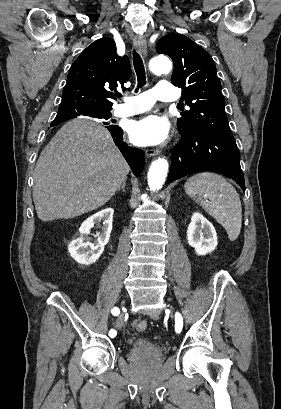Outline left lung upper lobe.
I'll return each instance as SVG.
<instances>
[{
  "instance_id": "5c2ea615",
  "label": "left lung upper lobe",
  "mask_w": 281,
  "mask_h": 409,
  "mask_svg": "<svg viewBox=\"0 0 281 409\" xmlns=\"http://www.w3.org/2000/svg\"><path fill=\"white\" fill-rule=\"evenodd\" d=\"M157 52L174 63L171 81L182 88L181 102L190 110L177 120L180 134L198 128L232 135L224 110L225 100L212 57L188 37L171 33L160 39Z\"/></svg>"
}]
</instances>
